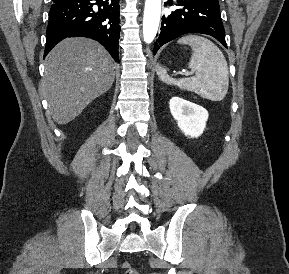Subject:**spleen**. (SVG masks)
Returning a JSON list of instances; mask_svg holds the SVG:
<instances>
[{"instance_id":"3e777b00","label":"spleen","mask_w":289,"mask_h":274,"mask_svg":"<svg viewBox=\"0 0 289 274\" xmlns=\"http://www.w3.org/2000/svg\"><path fill=\"white\" fill-rule=\"evenodd\" d=\"M178 43L191 46L192 56L188 67L195 72V76L174 79L167 74L166 69L157 65L156 72L160 80L211 101L224 99L229 86V73L226 59L220 49L210 40L198 35L181 37Z\"/></svg>"}]
</instances>
